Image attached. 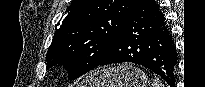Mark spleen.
<instances>
[{"label": "spleen", "mask_w": 205, "mask_h": 87, "mask_svg": "<svg viewBox=\"0 0 205 87\" xmlns=\"http://www.w3.org/2000/svg\"><path fill=\"white\" fill-rule=\"evenodd\" d=\"M152 85H153V87H164L163 83L156 78L153 80Z\"/></svg>", "instance_id": "spleen-1"}]
</instances>
